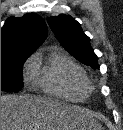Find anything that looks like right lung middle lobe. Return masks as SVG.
<instances>
[{"label": "right lung middle lobe", "instance_id": "right-lung-middle-lobe-1", "mask_svg": "<svg viewBox=\"0 0 123 130\" xmlns=\"http://www.w3.org/2000/svg\"><path fill=\"white\" fill-rule=\"evenodd\" d=\"M30 55L1 57V91L18 92L23 87L22 66Z\"/></svg>", "mask_w": 123, "mask_h": 130}]
</instances>
